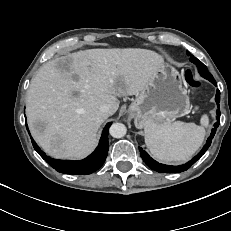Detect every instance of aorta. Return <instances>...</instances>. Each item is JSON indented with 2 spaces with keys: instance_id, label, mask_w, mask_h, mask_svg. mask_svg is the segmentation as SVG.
Segmentation results:
<instances>
[{
  "instance_id": "762f6f07",
  "label": "aorta",
  "mask_w": 231,
  "mask_h": 231,
  "mask_svg": "<svg viewBox=\"0 0 231 231\" xmlns=\"http://www.w3.org/2000/svg\"><path fill=\"white\" fill-rule=\"evenodd\" d=\"M126 127L122 123H114L111 125L109 132L110 135L114 138H122L126 134Z\"/></svg>"
}]
</instances>
